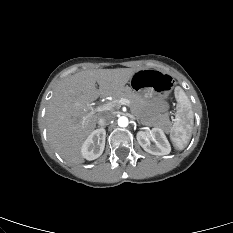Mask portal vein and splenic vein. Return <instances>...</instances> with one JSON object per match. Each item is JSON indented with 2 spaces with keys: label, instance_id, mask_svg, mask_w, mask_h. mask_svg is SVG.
<instances>
[{
  "label": "portal vein and splenic vein",
  "instance_id": "obj_1",
  "mask_svg": "<svg viewBox=\"0 0 233 233\" xmlns=\"http://www.w3.org/2000/svg\"><path fill=\"white\" fill-rule=\"evenodd\" d=\"M117 105H125V106H130V101L128 99L125 98H121L119 100H116L114 102H109L106 104H103L101 106H99L96 109H92L84 118H83V125L85 124V122L92 116L94 115L96 112H102V111H108L111 110L112 108H114Z\"/></svg>",
  "mask_w": 233,
  "mask_h": 233
}]
</instances>
